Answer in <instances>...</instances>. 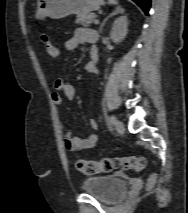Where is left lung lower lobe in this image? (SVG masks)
Listing matches in <instances>:
<instances>
[{"mask_svg":"<svg viewBox=\"0 0 188 213\" xmlns=\"http://www.w3.org/2000/svg\"><path fill=\"white\" fill-rule=\"evenodd\" d=\"M133 1L143 9L146 15H148L151 0H133Z\"/></svg>","mask_w":188,"mask_h":213,"instance_id":"1","label":"left lung lower lobe"}]
</instances>
